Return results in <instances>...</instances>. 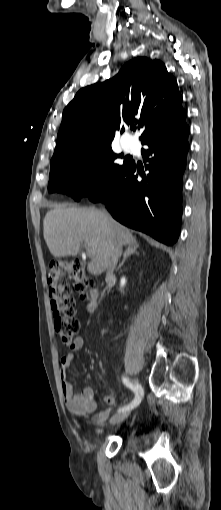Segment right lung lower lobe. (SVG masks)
Wrapping results in <instances>:
<instances>
[{"label":"right lung lower lobe","instance_id":"obj_1","mask_svg":"<svg viewBox=\"0 0 221 510\" xmlns=\"http://www.w3.org/2000/svg\"><path fill=\"white\" fill-rule=\"evenodd\" d=\"M189 126L149 135L141 140L147 173L131 161L114 183L90 198L101 201L120 223L172 246L180 233L183 173L189 149ZM139 176V177H138Z\"/></svg>","mask_w":221,"mask_h":510}]
</instances>
